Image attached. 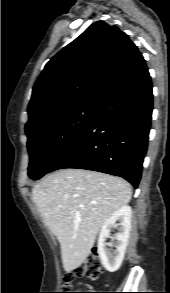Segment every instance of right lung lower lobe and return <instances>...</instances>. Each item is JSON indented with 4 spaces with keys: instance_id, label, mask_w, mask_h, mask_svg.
<instances>
[{
    "instance_id": "obj_1",
    "label": "right lung lower lobe",
    "mask_w": 170,
    "mask_h": 293,
    "mask_svg": "<svg viewBox=\"0 0 170 293\" xmlns=\"http://www.w3.org/2000/svg\"><path fill=\"white\" fill-rule=\"evenodd\" d=\"M153 110L149 73L104 100L94 121L50 166L99 171L138 186Z\"/></svg>"
}]
</instances>
